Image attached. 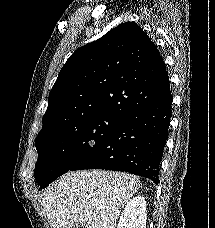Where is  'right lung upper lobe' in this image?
<instances>
[{
    "label": "right lung upper lobe",
    "instance_id": "1",
    "mask_svg": "<svg viewBox=\"0 0 215 228\" xmlns=\"http://www.w3.org/2000/svg\"><path fill=\"white\" fill-rule=\"evenodd\" d=\"M166 65L147 34L125 22L77 49L49 94L42 131L113 114L125 117L170 91Z\"/></svg>",
    "mask_w": 215,
    "mask_h": 228
}]
</instances>
